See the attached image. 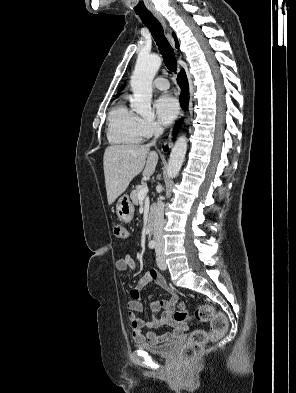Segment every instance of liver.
Here are the masks:
<instances>
[{"mask_svg": "<svg viewBox=\"0 0 296 393\" xmlns=\"http://www.w3.org/2000/svg\"><path fill=\"white\" fill-rule=\"evenodd\" d=\"M158 155L148 145H111L105 150L103 167L108 204L111 205L142 172L150 177L156 168Z\"/></svg>", "mask_w": 296, "mask_h": 393, "instance_id": "1", "label": "liver"}]
</instances>
